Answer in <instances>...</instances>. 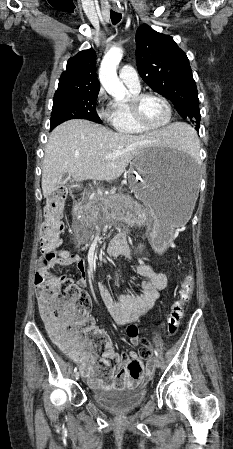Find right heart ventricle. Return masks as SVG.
<instances>
[{"label":"right heart ventricle","mask_w":233,"mask_h":449,"mask_svg":"<svg viewBox=\"0 0 233 449\" xmlns=\"http://www.w3.org/2000/svg\"><path fill=\"white\" fill-rule=\"evenodd\" d=\"M128 88L131 95L140 91V89ZM109 123L114 130L125 135H143L149 131L134 121L128 106V100H116L111 104Z\"/></svg>","instance_id":"right-heart-ventricle-1"}]
</instances>
